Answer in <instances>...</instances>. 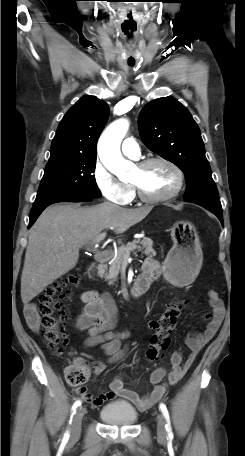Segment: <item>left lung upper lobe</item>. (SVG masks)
<instances>
[{"instance_id": "1", "label": "left lung upper lobe", "mask_w": 245, "mask_h": 456, "mask_svg": "<svg viewBox=\"0 0 245 456\" xmlns=\"http://www.w3.org/2000/svg\"><path fill=\"white\" fill-rule=\"evenodd\" d=\"M140 135L154 153L177 165L186 176L185 201L222 212L198 125L173 97L156 99L141 110Z\"/></svg>"}]
</instances>
